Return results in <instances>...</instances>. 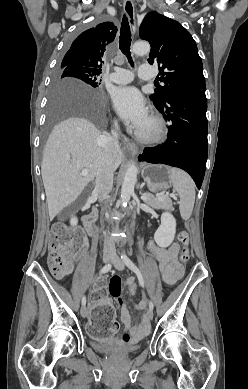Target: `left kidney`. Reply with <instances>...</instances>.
<instances>
[{
    "instance_id": "5707ae66",
    "label": "left kidney",
    "mask_w": 248,
    "mask_h": 389,
    "mask_svg": "<svg viewBox=\"0 0 248 389\" xmlns=\"http://www.w3.org/2000/svg\"><path fill=\"white\" fill-rule=\"evenodd\" d=\"M176 233V220L169 212L161 215V225L154 234L156 244L162 248L168 247L174 240Z\"/></svg>"
}]
</instances>
